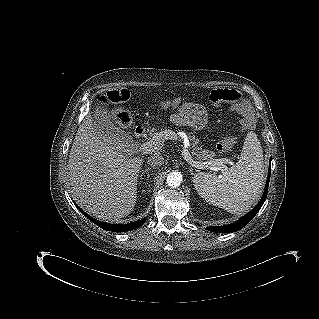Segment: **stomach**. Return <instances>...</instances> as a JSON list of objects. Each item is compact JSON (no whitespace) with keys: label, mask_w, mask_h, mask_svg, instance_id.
<instances>
[{"label":"stomach","mask_w":319,"mask_h":319,"mask_svg":"<svg viewBox=\"0 0 319 319\" xmlns=\"http://www.w3.org/2000/svg\"><path fill=\"white\" fill-rule=\"evenodd\" d=\"M184 124L196 129H203L207 122V112L202 107L184 105L181 111Z\"/></svg>","instance_id":"1"}]
</instances>
